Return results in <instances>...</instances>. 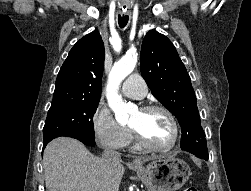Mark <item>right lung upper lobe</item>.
Here are the masks:
<instances>
[{"label":"right lung upper lobe","instance_id":"right-lung-upper-lobe-1","mask_svg":"<svg viewBox=\"0 0 251 191\" xmlns=\"http://www.w3.org/2000/svg\"><path fill=\"white\" fill-rule=\"evenodd\" d=\"M104 55L97 30L77 41L58 73L51 106L99 101Z\"/></svg>","mask_w":251,"mask_h":191}]
</instances>
